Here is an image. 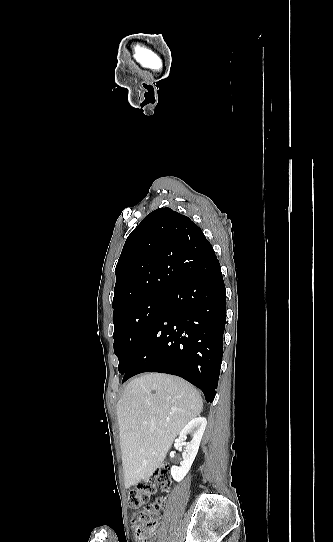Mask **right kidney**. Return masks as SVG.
I'll list each match as a JSON object with an SVG mask.
<instances>
[{"instance_id": "ca27d5eb", "label": "right kidney", "mask_w": 333, "mask_h": 542, "mask_svg": "<svg viewBox=\"0 0 333 542\" xmlns=\"http://www.w3.org/2000/svg\"><path fill=\"white\" fill-rule=\"evenodd\" d=\"M207 426L206 418H193L191 422H188L187 426L181 430L179 434V442L182 446H186L182 458L183 462L178 468V466H172L171 476L175 482H181L188 474L199 450L200 442L202 436L205 432ZM187 434H191V442H185Z\"/></svg>"}]
</instances>
